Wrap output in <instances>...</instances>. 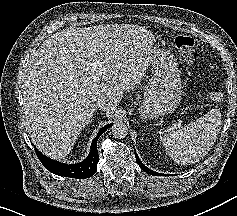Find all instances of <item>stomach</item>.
<instances>
[{
  "label": "stomach",
  "instance_id": "0dacf381",
  "mask_svg": "<svg viewBox=\"0 0 237 216\" xmlns=\"http://www.w3.org/2000/svg\"><path fill=\"white\" fill-rule=\"evenodd\" d=\"M160 57L163 70H157L155 78L149 82L139 108V116L144 120L173 112L181 101L179 73L166 52H161Z\"/></svg>",
  "mask_w": 237,
  "mask_h": 216
}]
</instances>
